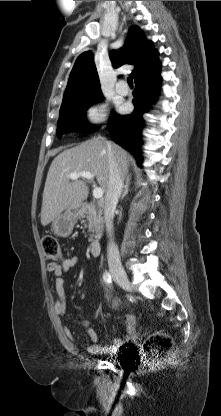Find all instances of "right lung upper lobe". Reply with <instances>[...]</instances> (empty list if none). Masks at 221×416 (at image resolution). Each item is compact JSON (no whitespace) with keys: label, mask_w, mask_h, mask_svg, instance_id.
<instances>
[{"label":"right lung upper lobe","mask_w":221,"mask_h":416,"mask_svg":"<svg viewBox=\"0 0 221 416\" xmlns=\"http://www.w3.org/2000/svg\"><path fill=\"white\" fill-rule=\"evenodd\" d=\"M110 59L114 67L123 64L135 65L136 67L132 71L135 79L153 73L160 68L158 52L137 26H132L129 29L122 48L111 51ZM97 94H101V90L94 64V55L91 51H86L78 56L73 66L63 102L88 98Z\"/></svg>","instance_id":"right-lung-upper-lobe-1"}]
</instances>
